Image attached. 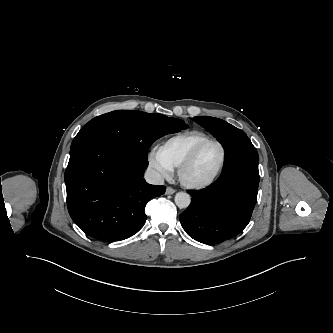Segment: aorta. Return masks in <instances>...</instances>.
Wrapping results in <instances>:
<instances>
[{"label":"aorta","instance_id":"obj_1","mask_svg":"<svg viewBox=\"0 0 333 333\" xmlns=\"http://www.w3.org/2000/svg\"><path fill=\"white\" fill-rule=\"evenodd\" d=\"M175 203L179 208H187L190 203H191V199L189 194L185 193V192H178L175 195Z\"/></svg>","mask_w":333,"mask_h":333}]
</instances>
